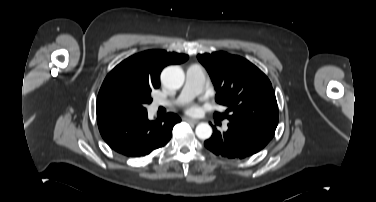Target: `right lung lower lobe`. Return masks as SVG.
Segmentation results:
<instances>
[{
  "mask_svg": "<svg viewBox=\"0 0 376 202\" xmlns=\"http://www.w3.org/2000/svg\"><path fill=\"white\" fill-rule=\"evenodd\" d=\"M180 121L174 113L149 121L145 112L131 116L117 115L98 122V127L113 150L128 157H141L165 146L171 139L173 126Z\"/></svg>",
  "mask_w": 376,
  "mask_h": 202,
  "instance_id": "obj_1",
  "label": "right lung lower lobe"
}]
</instances>
